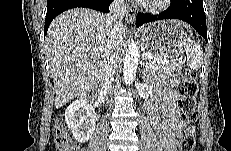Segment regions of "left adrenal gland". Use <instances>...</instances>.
<instances>
[{"mask_svg":"<svg viewBox=\"0 0 231 151\" xmlns=\"http://www.w3.org/2000/svg\"><path fill=\"white\" fill-rule=\"evenodd\" d=\"M143 60H144V58H143ZM141 64L143 65V68H144V62H141ZM146 72H147V69L145 67L144 70H143V72H142V78L143 79H145V77H146Z\"/></svg>","mask_w":231,"mask_h":151,"instance_id":"1","label":"left adrenal gland"}]
</instances>
